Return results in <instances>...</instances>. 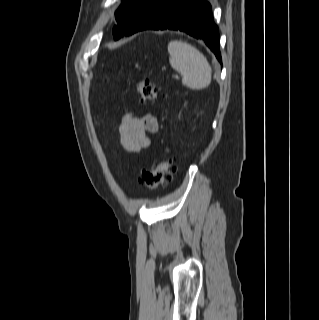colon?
I'll return each mask as SVG.
<instances>
[{
  "label": "colon",
  "mask_w": 319,
  "mask_h": 320,
  "mask_svg": "<svg viewBox=\"0 0 319 320\" xmlns=\"http://www.w3.org/2000/svg\"><path fill=\"white\" fill-rule=\"evenodd\" d=\"M138 92L142 100L151 101L157 97V88L149 79L144 78L138 82ZM176 172L175 162L168 158L150 165L140 178V185L147 189H154L168 183Z\"/></svg>",
  "instance_id": "colon-1"
}]
</instances>
